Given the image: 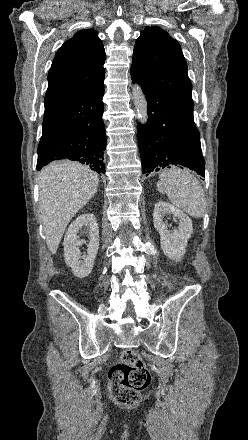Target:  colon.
Wrapping results in <instances>:
<instances>
[{
  "label": "colon",
  "mask_w": 248,
  "mask_h": 440,
  "mask_svg": "<svg viewBox=\"0 0 248 440\" xmlns=\"http://www.w3.org/2000/svg\"><path fill=\"white\" fill-rule=\"evenodd\" d=\"M110 393L113 400L122 406H134L141 399V392L150 383V373L139 354L128 349L122 361L109 370Z\"/></svg>",
  "instance_id": "5ec220e1"
}]
</instances>
